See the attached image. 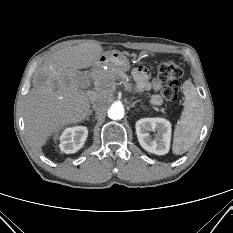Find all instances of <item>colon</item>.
<instances>
[{
	"label": "colon",
	"mask_w": 233,
	"mask_h": 233,
	"mask_svg": "<svg viewBox=\"0 0 233 233\" xmlns=\"http://www.w3.org/2000/svg\"><path fill=\"white\" fill-rule=\"evenodd\" d=\"M158 78L166 82L162 88V95L168 101H175L178 96V83L183 75V71L179 65L171 60L162 61L157 69Z\"/></svg>",
	"instance_id": "5ec220e1"
}]
</instances>
